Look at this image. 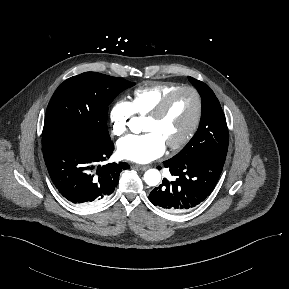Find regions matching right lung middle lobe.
I'll use <instances>...</instances> for the list:
<instances>
[{
	"label": "right lung middle lobe",
	"mask_w": 289,
	"mask_h": 289,
	"mask_svg": "<svg viewBox=\"0 0 289 289\" xmlns=\"http://www.w3.org/2000/svg\"><path fill=\"white\" fill-rule=\"evenodd\" d=\"M133 85L122 78L96 72L65 80L48 104L42 146L65 137H78L96 144L111 142L107 128L108 105Z\"/></svg>",
	"instance_id": "obj_1"
}]
</instances>
